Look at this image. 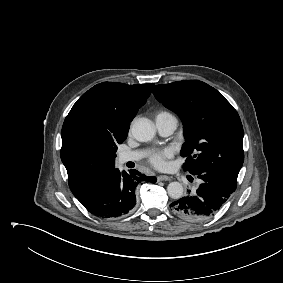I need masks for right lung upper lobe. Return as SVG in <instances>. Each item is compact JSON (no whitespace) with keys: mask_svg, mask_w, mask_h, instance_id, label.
<instances>
[{"mask_svg":"<svg viewBox=\"0 0 283 283\" xmlns=\"http://www.w3.org/2000/svg\"><path fill=\"white\" fill-rule=\"evenodd\" d=\"M153 86L103 82L73 105L62 127L60 155L75 197L115 170L117 144L126 139Z\"/></svg>","mask_w":283,"mask_h":283,"instance_id":"obj_1","label":"right lung upper lobe"}]
</instances>
